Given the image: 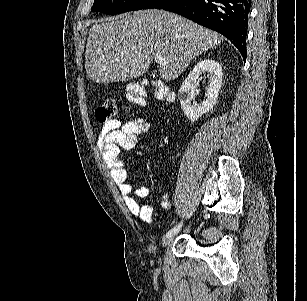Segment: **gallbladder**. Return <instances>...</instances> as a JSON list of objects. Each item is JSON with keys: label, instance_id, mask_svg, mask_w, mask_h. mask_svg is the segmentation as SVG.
<instances>
[{"label": "gallbladder", "instance_id": "obj_1", "mask_svg": "<svg viewBox=\"0 0 307 301\" xmlns=\"http://www.w3.org/2000/svg\"><path fill=\"white\" fill-rule=\"evenodd\" d=\"M149 76H153V78H156L158 76L157 72H150Z\"/></svg>", "mask_w": 307, "mask_h": 301}]
</instances>
